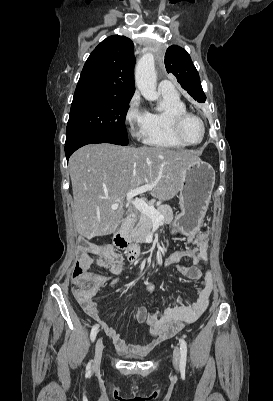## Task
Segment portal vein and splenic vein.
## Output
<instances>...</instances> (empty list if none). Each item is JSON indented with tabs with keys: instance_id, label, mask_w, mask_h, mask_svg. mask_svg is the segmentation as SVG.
<instances>
[{
	"instance_id": "obj_1",
	"label": "portal vein and splenic vein",
	"mask_w": 273,
	"mask_h": 401,
	"mask_svg": "<svg viewBox=\"0 0 273 401\" xmlns=\"http://www.w3.org/2000/svg\"><path fill=\"white\" fill-rule=\"evenodd\" d=\"M153 184H144V186H138V188H133V190H129L127 192V201H130L140 213H144V215H148L154 223H160V221H163L164 217L163 215H160L159 211L157 209H154V207H149V205H146L144 201H142V198H134L133 201V196H136V194H140V192H146V190H152ZM119 205L116 203V205H112L111 209H118Z\"/></svg>"
}]
</instances>
